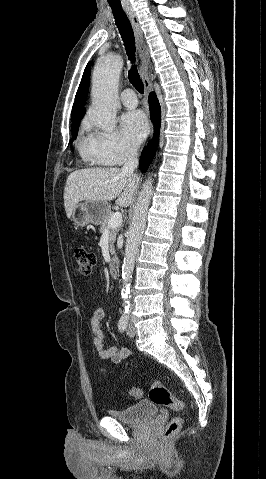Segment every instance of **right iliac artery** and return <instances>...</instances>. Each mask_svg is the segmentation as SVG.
Instances as JSON below:
<instances>
[{"instance_id":"82829eb1","label":"right iliac artery","mask_w":266,"mask_h":479,"mask_svg":"<svg viewBox=\"0 0 266 479\" xmlns=\"http://www.w3.org/2000/svg\"><path fill=\"white\" fill-rule=\"evenodd\" d=\"M128 315H122L120 320H119V323H118V329L120 332H124L127 328V325H128Z\"/></svg>"}]
</instances>
